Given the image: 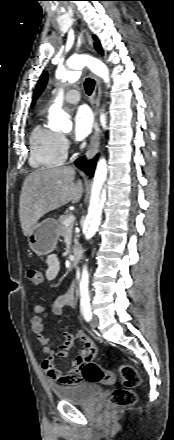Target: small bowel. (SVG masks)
<instances>
[{
    "instance_id": "c3829d8e",
    "label": "small bowel",
    "mask_w": 174,
    "mask_h": 440,
    "mask_svg": "<svg viewBox=\"0 0 174 440\" xmlns=\"http://www.w3.org/2000/svg\"><path fill=\"white\" fill-rule=\"evenodd\" d=\"M46 263L47 268L45 270V277L48 281H52L58 277L61 270V263L58 256L54 253L48 255ZM74 295V285L70 284L65 293L55 298L49 305H34L33 311L36 315L31 319L32 330L36 334L38 344L43 347L44 353L50 355L51 357L67 358L73 343L76 340L80 343L77 354L70 358V364L72 367L71 371L67 373L62 372L55 365L53 358L44 362V364L47 366L45 372L47 373L49 379L63 385H74L80 383L83 365L88 360H93L96 357L97 347L92 339L82 330H79L74 334H72L70 331H65L64 343L58 349L49 347V339L45 335V325L40 314L50 311L55 317H58L66 307L75 309L76 301Z\"/></svg>"
}]
</instances>
